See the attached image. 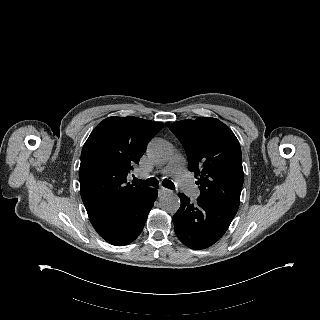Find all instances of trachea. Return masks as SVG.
Masks as SVG:
<instances>
[{"mask_svg":"<svg viewBox=\"0 0 320 320\" xmlns=\"http://www.w3.org/2000/svg\"><path fill=\"white\" fill-rule=\"evenodd\" d=\"M134 182L143 185V186H157L159 184L158 180L156 178H149L147 180H140L138 178H134ZM162 185L169 189H174L175 185L172 181L168 179H164L162 182Z\"/></svg>","mask_w":320,"mask_h":320,"instance_id":"1","label":"trachea"}]
</instances>
